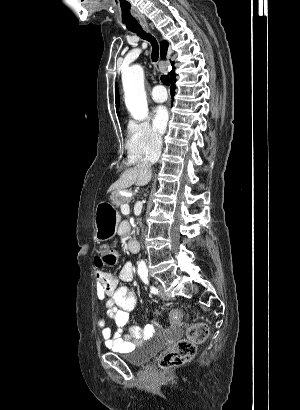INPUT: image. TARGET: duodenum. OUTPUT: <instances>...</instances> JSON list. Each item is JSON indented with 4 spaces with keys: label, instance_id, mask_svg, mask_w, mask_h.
I'll return each mask as SVG.
<instances>
[{
    "label": "duodenum",
    "instance_id": "obj_1",
    "mask_svg": "<svg viewBox=\"0 0 300 410\" xmlns=\"http://www.w3.org/2000/svg\"><path fill=\"white\" fill-rule=\"evenodd\" d=\"M128 248L131 252H137L138 248H139V245H138L137 241L132 240L128 243Z\"/></svg>",
    "mask_w": 300,
    "mask_h": 410
}]
</instances>
